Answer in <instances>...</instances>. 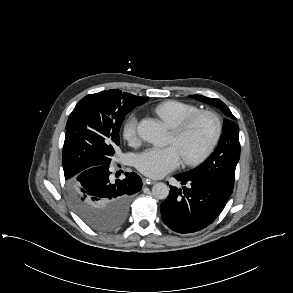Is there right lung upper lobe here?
Listing matches in <instances>:
<instances>
[{
	"mask_svg": "<svg viewBox=\"0 0 293 293\" xmlns=\"http://www.w3.org/2000/svg\"><path fill=\"white\" fill-rule=\"evenodd\" d=\"M139 99H141L142 101H147L148 100V98H146V97H139Z\"/></svg>",
	"mask_w": 293,
	"mask_h": 293,
	"instance_id": "1",
	"label": "right lung upper lobe"
}]
</instances>
